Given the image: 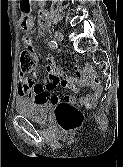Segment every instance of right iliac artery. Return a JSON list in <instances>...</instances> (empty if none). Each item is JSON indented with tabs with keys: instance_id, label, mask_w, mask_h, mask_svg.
<instances>
[{
	"instance_id": "1",
	"label": "right iliac artery",
	"mask_w": 123,
	"mask_h": 167,
	"mask_svg": "<svg viewBox=\"0 0 123 167\" xmlns=\"http://www.w3.org/2000/svg\"><path fill=\"white\" fill-rule=\"evenodd\" d=\"M48 45L51 49H56L58 47L57 42L54 40L49 41Z\"/></svg>"
}]
</instances>
